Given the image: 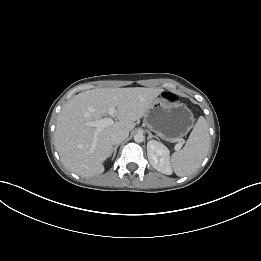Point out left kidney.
Returning a JSON list of instances; mask_svg holds the SVG:
<instances>
[{
	"label": "left kidney",
	"instance_id": "5707ae66",
	"mask_svg": "<svg viewBox=\"0 0 261 261\" xmlns=\"http://www.w3.org/2000/svg\"><path fill=\"white\" fill-rule=\"evenodd\" d=\"M147 156L151 165L163 174H171L169 150L162 143L151 140L147 143Z\"/></svg>",
	"mask_w": 261,
	"mask_h": 261
}]
</instances>
